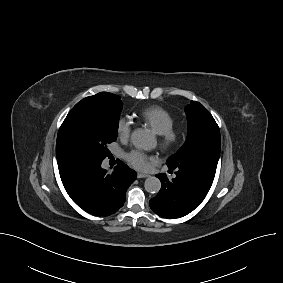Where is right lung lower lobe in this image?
<instances>
[{"label": "right lung lower lobe", "mask_w": 283, "mask_h": 283, "mask_svg": "<svg viewBox=\"0 0 283 283\" xmlns=\"http://www.w3.org/2000/svg\"><path fill=\"white\" fill-rule=\"evenodd\" d=\"M102 161L73 158L58 168L71 199L88 213L106 216L123 206L126 190L137 174L121 161L108 173L101 167Z\"/></svg>", "instance_id": "98d812e1"}]
</instances>
